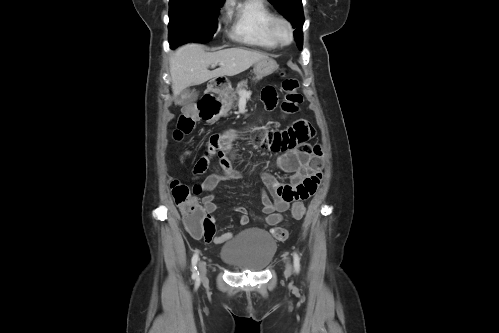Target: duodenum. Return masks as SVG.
<instances>
[{"label":"duodenum","mask_w":499,"mask_h":333,"mask_svg":"<svg viewBox=\"0 0 499 333\" xmlns=\"http://www.w3.org/2000/svg\"><path fill=\"white\" fill-rule=\"evenodd\" d=\"M221 86V82L220 81H213L210 83L209 85V88L207 90V95L208 96H215L216 95V90ZM218 112V109L216 106L210 108L208 110V117H212L214 116L216 113Z\"/></svg>","instance_id":"duodenum-1"}]
</instances>
